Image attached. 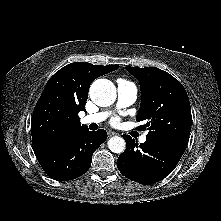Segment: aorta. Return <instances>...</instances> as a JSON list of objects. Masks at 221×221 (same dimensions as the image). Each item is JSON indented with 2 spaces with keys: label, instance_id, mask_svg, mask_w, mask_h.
<instances>
[{
  "label": "aorta",
  "instance_id": "obj_1",
  "mask_svg": "<svg viewBox=\"0 0 221 221\" xmlns=\"http://www.w3.org/2000/svg\"><path fill=\"white\" fill-rule=\"evenodd\" d=\"M90 98L98 106L107 107L116 100V88L107 79H97L90 87ZM108 148L111 152L122 153L126 148V143L122 137L114 136L108 140Z\"/></svg>",
  "mask_w": 221,
  "mask_h": 221
}]
</instances>
